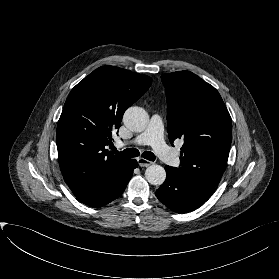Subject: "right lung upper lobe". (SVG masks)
<instances>
[{
  "mask_svg": "<svg viewBox=\"0 0 279 279\" xmlns=\"http://www.w3.org/2000/svg\"><path fill=\"white\" fill-rule=\"evenodd\" d=\"M149 76L102 66L70 92L57 126L58 161L65 182L84 201L112 185L131 159L108 153L123 114L150 87Z\"/></svg>",
  "mask_w": 279,
  "mask_h": 279,
  "instance_id": "1",
  "label": "right lung upper lobe"
}]
</instances>
